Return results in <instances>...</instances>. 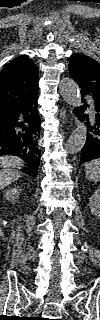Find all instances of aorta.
Instances as JSON below:
<instances>
[{
    "label": "aorta",
    "instance_id": "obj_1",
    "mask_svg": "<svg viewBox=\"0 0 100 320\" xmlns=\"http://www.w3.org/2000/svg\"><path fill=\"white\" fill-rule=\"evenodd\" d=\"M59 91L65 102L72 106H80L81 98L77 83L69 78L63 77L59 84ZM87 137V127L85 124L79 123L71 133L67 144L66 151L69 154L79 152L85 145Z\"/></svg>",
    "mask_w": 100,
    "mask_h": 320
}]
</instances>
